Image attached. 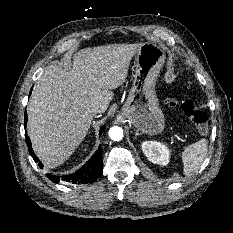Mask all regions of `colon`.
I'll use <instances>...</instances> for the list:
<instances>
[{
  "mask_svg": "<svg viewBox=\"0 0 233 233\" xmlns=\"http://www.w3.org/2000/svg\"><path fill=\"white\" fill-rule=\"evenodd\" d=\"M167 103L171 107L180 109L194 123L199 134L206 135L208 133V115L205 111L198 109L191 98L183 100L169 98Z\"/></svg>",
  "mask_w": 233,
  "mask_h": 233,
  "instance_id": "obj_1",
  "label": "colon"
}]
</instances>
